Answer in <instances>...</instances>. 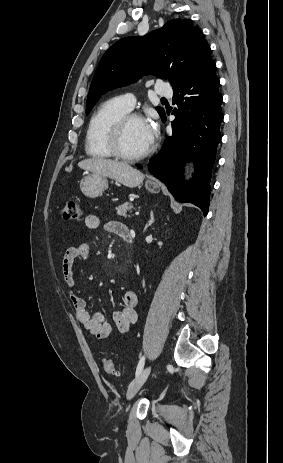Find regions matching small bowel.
Instances as JSON below:
<instances>
[{
  "instance_id": "small-bowel-1",
  "label": "small bowel",
  "mask_w": 283,
  "mask_h": 463,
  "mask_svg": "<svg viewBox=\"0 0 283 463\" xmlns=\"http://www.w3.org/2000/svg\"><path fill=\"white\" fill-rule=\"evenodd\" d=\"M85 226L94 230L99 226V218L96 215H88L85 218ZM106 231L125 240L130 231L126 225L119 221H110L105 225ZM91 255V248L87 244L77 247H69L62 260V274L65 287L69 293L76 319L83 327L97 339L103 340L110 337L116 329L120 333H126L137 320L135 306L137 295L135 291L128 289L123 294L124 307L113 314V323L104 319L102 315L92 314L87 309L86 301L75 290V263L77 260H87Z\"/></svg>"
}]
</instances>
